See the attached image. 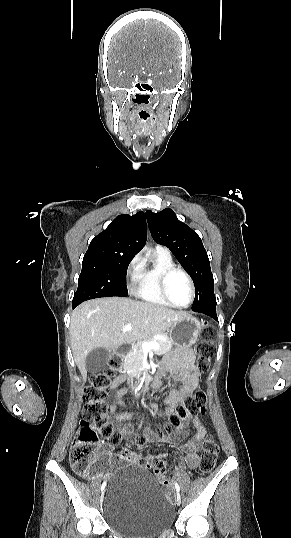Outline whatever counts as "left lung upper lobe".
Returning <instances> with one entry per match:
<instances>
[{"instance_id":"obj_1","label":"left lung upper lobe","mask_w":291,"mask_h":538,"mask_svg":"<svg viewBox=\"0 0 291 538\" xmlns=\"http://www.w3.org/2000/svg\"><path fill=\"white\" fill-rule=\"evenodd\" d=\"M146 217L154 241L168 247L190 274L195 285L192 307L216 303L209 258L198 234L179 221L170 208L158 213L148 210Z\"/></svg>"}]
</instances>
